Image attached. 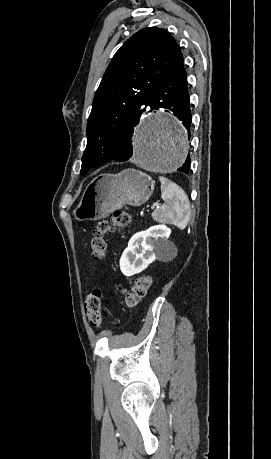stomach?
<instances>
[{"instance_id": "stomach-1", "label": "stomach", "mask_w": 271, "mask_h": 459, "mask_svg": "<svg viewBox=\"0 0 271 459\" xmlns=\"http://www.w3.org/2000/svg\"><path fill=\"white\" fill-rule=\"evenodd\" d=\"M154 190L150 176L139 170H122L120 174H101L87 186L73 216L77 222L101 220L123 206H141Z\"/></svg>"}]
</instances>
